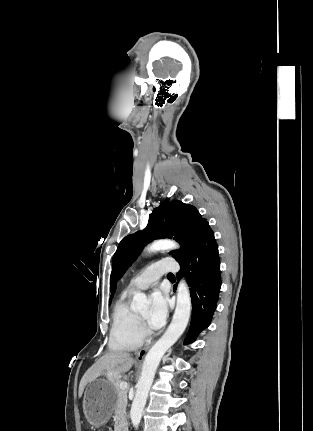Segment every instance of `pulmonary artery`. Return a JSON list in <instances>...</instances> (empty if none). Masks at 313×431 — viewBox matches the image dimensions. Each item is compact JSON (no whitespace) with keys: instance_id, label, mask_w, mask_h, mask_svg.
I'll return each instance as SVG.
<instances>
[{"instance_id":"e3ab8cb5","label":"pulmonary artery","mask_w":313,"mask_h":431,"mask_svg":"<svg viewBox=\"0 0 313 431\" xmlns=\"http://www.w3.org/2000/svg\"><path fill=\"white\" fill-rule=\"evenodd\" d=\"M179 270L178 263L172 258H165L156 261L145 268L138 276H136L128 286V292L146 290L155 285L158 279L165 273H175Z\"/></svg>"}]
</instances>
